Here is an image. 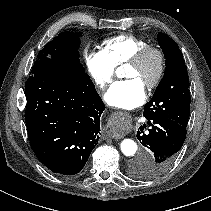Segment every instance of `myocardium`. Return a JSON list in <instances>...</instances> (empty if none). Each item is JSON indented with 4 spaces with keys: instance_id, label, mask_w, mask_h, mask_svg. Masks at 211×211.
Here are the masks:
<instances>
[{
    "instance_id": "f54148a6",
    "label": "myocardium",
    "mask_w": 211,
    "mask_h": 211,
    "mask_svg": "<svg viewBox=\"0 0 211 211\" xmlns=\"http://www.w3.org/2000/svg\"><path fill=\"white\" fill-rule=\"evenodd\" d=\"M149 55H154L157 59V71L154 78L148 82L145 86L148 90L155 89L162 81L165 68L166 59L165 54L159 47L155 45H145L137 50L126 62L127 64L139 65L141 64Z\"/></svg>"
}]
</instances>
